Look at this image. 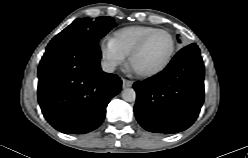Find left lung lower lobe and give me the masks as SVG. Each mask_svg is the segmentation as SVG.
<instances>
[{"mask_svg": "<svg viewBox=\"0 0 248 158\" xmlns=\"http://www.w3.org/2000/svg\"><path fill=\"white\" fill-rule=\"evenodd\" d=\"M204 64L196 44L182 48L155 76L135 82L134 113L147 131L171 134L190 127L204 101Z\"/></svg>", "mask_w": 248, "mask_h": 158, "instance_id": "obj_1", "label": "left lung lower lobe"}]
</instances>
